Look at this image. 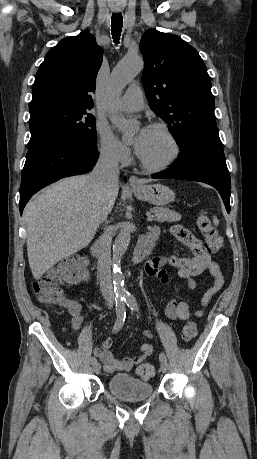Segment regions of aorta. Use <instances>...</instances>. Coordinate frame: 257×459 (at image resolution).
Instances as JSON below:
<instances>
[{"label":"aorta","instance_id":"aorta-1","mask_svg":"<svg viewBox=\"0 0 257 459\" xmlns=\"http://www.w3.org/2000/svg\"><path fill=\"white\" fill-rule=\"evenodd\" d=\"M142 66L143 59L140 56H126L112 71L108 86V95L111 98L119 96L126 85L140 72ZM111 120L122 132L124 140L133 136L135 122L117 114H112ZM130 239L131 225L130 223L124 222L115 239L112 257L114 292L118 299L126 296L124 276L121 272L120 261L129 246Z\"/></svg>","mask_w":257,"mask_h":459}]
</instances>
